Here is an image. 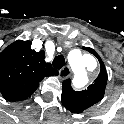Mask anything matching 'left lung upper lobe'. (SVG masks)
<instances>
[{
  "instance_id": "5c2ea615",
  "label": "left lung upper lobe",
  "mask_w": 124,
  "mask_h": 124,
  "mask_svg": "<svg viewBox=\"0 0 124 124\" xmlns=\"http://www.w3.org/2000/svg\"><path fill=\"white\" fill-rule=\"evenodd\" d=\"M84 50L93 53L99 60L101 69L98 77L86 90L74 91L70 85V80H65L62 83L61 101L66 109L72 113H82L85 109L99 102L105 92L107 84V73L99 55L89 47H83Z\"/></svg>"
}]
</instances>
